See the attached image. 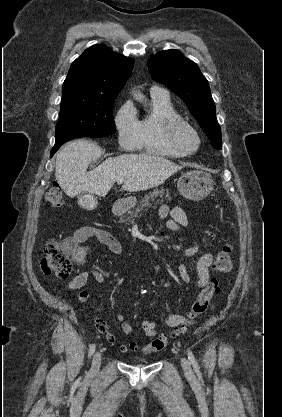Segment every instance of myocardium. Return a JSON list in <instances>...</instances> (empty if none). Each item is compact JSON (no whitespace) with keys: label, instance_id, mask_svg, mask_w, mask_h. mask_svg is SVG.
<instances>
[{"label":"myocardium","instance_id":"myocardium-1","mask_svg":"<svg viewBox=\"0 0 282 417\" xmlns=\"http://www.w3.org/2000/svg\"><path fill=\"white\" fill-rule=\"evenodd\" d=\"M167 126L166 140L168 144L182 155H190L193 151L188 150L182 142L185 134L193 135L199 143V135L185 120L177 116H167L162 119Z\"/></svg>","mask_w":282,"mask_h":417}]
</instances>
